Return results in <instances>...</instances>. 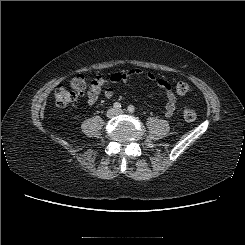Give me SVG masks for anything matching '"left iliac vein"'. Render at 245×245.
<instances>
[{
  "instance_id": "obj_1",
  "label": "left iliac vein",
  "mask_w": 245,
  "mask_h": 245,
  "mask_svg": "<svg viewBox=\"0 0 245 245\" xmlns=\"http://www.w3.org/2000/svg\"><path fill=\"white\" fill-rule=\"evenodd\" d=\"M123 113H124L123 110H118V111H117V114H118V115H121V114H123Z\"/></svg>"
}]
</instances>
